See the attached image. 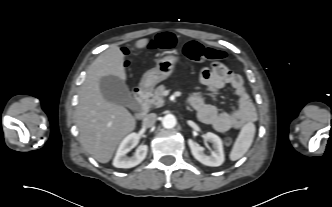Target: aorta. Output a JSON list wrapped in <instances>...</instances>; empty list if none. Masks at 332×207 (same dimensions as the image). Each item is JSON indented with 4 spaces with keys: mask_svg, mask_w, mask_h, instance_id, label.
Listing matches in <instances>:
<instances>
[{
    "mask_svg": "<svg viewBox=\"0 0 332 207\" xmlns=\"http://www.w3.org/2000/svg\"><path fill=\"white\" fill-rule=\"evenodd\" d=\"M176 118L172 114H167L162 119V125L164 128L171 129L176 126Z\"/></svg>",
    "mask_w": 332,
    "mask_h": 207,
    "instance_id": "obj_1",
    "label": "aorta"
}]
</instances>
